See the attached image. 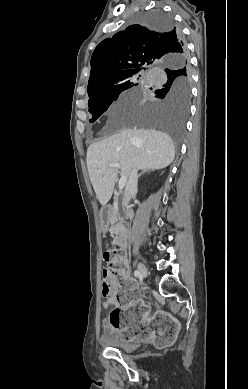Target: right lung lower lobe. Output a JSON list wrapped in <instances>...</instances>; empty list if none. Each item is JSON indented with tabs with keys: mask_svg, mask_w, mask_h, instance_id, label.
<instances>
[{
	"mask_svg": "<svg viewBox=\"0 0 248 389\" xmlns=\"http://www.w3.org/2000/svg\"><path fill=\"white\" fill-rule=\"evenodd\" d=\"M183 39L181 33L179 34V41H178V46L182 45ZM177 51L179 50L178 48L176 49Z\"/></svg>",
	"mask_w": 248,
	"mask_h": 389,
	"instance_id": "98d812e1",
	"label": "right lung lower lobe"
}]
</instances>
